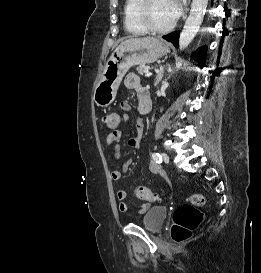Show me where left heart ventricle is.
I'll return each mask as SVG.
<instances>
[{
    "mask_svg": "<svg viewBox=\"0 0 261 273\" xmlns=\"http://www.w3.org/2000/svg\"><path fill=\"white\" fill-rule=\"evenodd\" d=\"M149 14L152 23L159 27L166 26L175 19L170 0H153Z\"/></svg>",
    "mask_w": 261,
    "mask_h": 273,
    "instance_id": "b2bd125f",
    "label": "left heart ventricle"
}]
</instances>
